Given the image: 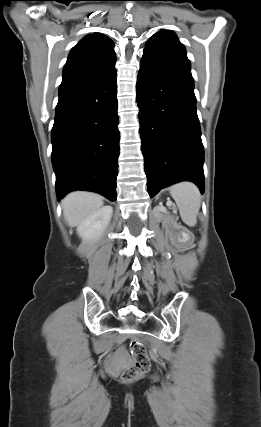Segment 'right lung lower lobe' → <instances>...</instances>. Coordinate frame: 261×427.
<instances>
[{
    "instance_id": "1",
    "label": "right lung lower lobe",
    "mask_w": 261,
    "mask_h": 427,
    "mask_svg": "<svg viewBox=\"0 0 261 427\" xmlns=\"http://www.w3.org/2000/svg\"><path fill=\"white\" fill-rule=\"evenodd\" d=\"M116 69L59 91L52 128L58 201L73 190L115 201L119 157Z\"/></svg>"
}]
</instances>
